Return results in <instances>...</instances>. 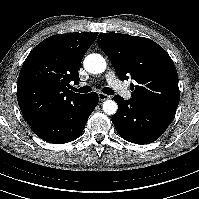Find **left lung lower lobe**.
<instances>
[{"instance_id": "obj_1", "label": "left lung lower lobe", "mask_w": 199, "mask_h": 199, "mask_svg": "<svg viewBox=\"0 0 199 199\" xmlns=\"http://www.w3.org/2000/svg\"><path fill=\"white\" fill-rule=\"evenodd\" d=\"M118 104L112 122L118 134L135 144H148L157 140L173 120L171 114L149 108L132 99L115 96Z\"/></svg>"}]
</instances>
